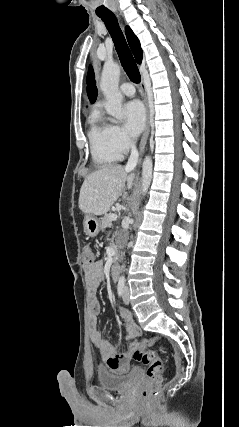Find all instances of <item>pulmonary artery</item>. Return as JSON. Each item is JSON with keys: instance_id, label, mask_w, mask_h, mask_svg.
Returning <instances> with one entry per match:
<instances>
[{"instance_id": "e3ab8cb5", "label": "pulmonary artery", "mask_w": 239, "mask_h": 427, "mask_svg": "<svg viewBox=\"0 0 239 427\" xmlns=\"http://www.w3.org/2000/svg\"><path fill=\"white\" fill-rule=\"evenodd\" d=\"M120 91L126 96H133L135 94L134 86L131 83H123L120 86Z\"/></svg>"}]
</instances>
